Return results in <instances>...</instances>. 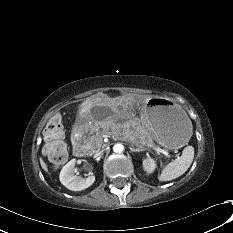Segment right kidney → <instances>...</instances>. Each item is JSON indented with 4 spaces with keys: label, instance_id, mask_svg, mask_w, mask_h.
Wrapping results in <instances>:
<instances>
[{
    "label": "right kidney",
    "instance_id": "right-kidney-1",
    "mask_svg": "<svg viewBox=\"0 0 233 233\" xmlns=\"http://www.w3.org/2000/svg\"><path fill=\"white\" fill-rule=\"evenodd\" d=\"M76 160H70L61 170L60 172V182L69 190L72 191H81L89 186H91L95 181V176L91 175L87 178H81L77 176L76 173Z\"/></svg>",
    "mask_w": 233,
    "mask_h": 233
}]
</instances>
